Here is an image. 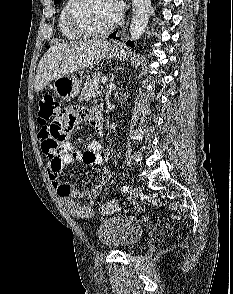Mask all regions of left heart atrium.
Segmentation results:
<instances>
[{"mask_svg": "<svg viewBox=\"0 0 233 294\" xmlns=\"http://www.w3.org/2000/svg\"><path fill=\"white\" fill-rule=\"evenodd\" d=\"M112 9L117 15H120L124 9V0H108Z\"/></svg>", "mask_w": 233, "mask_h": 294, "instance_id": "obj_1", "label": "left heart atrium"}]
</instances>
